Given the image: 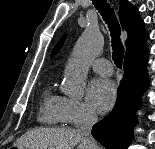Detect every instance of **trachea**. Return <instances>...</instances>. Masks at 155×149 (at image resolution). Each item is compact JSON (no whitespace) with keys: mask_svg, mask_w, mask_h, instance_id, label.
<instances>
[{"mask_svg":"<svg viewBox=\"0 0 155 149\" xmlns=\"http://www.w3.org/2000/svg\"><path fill=\"white\" fill-rule=\"evenodd\" d=\"M93 4L95 5L99 13L102 15L106 24H108L112 37L111 42L113 50V61L118 68H121L124 57V47L122 46L120 40L121 30L117 18L115 16L114 10L106 2V0H93Z\"/></svg>","mask_w":155,"mask_h":149,"instance_id":"3493384b","label":"trachea"}]
</instances>
